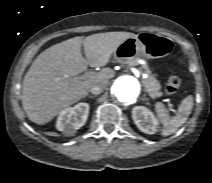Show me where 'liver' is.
I'll return each mask as SVG.
<instances>
[{
    "label": "liver",
    "instance_id": "obj_1",
    "mask_svg": "<svg viewBox=\"0 0 212 183\" xmlns=\"http://www.w3.org/2000/svg\"><path fill=\"white\" fill-rule=\"evenodd\" d=\"M134 36L130 32H106L74 37L40 53L23 81L22 105L28 118L38 125L46 124L87 96L94 84H107L115 74L111 68H103L87 77L77 76L87 66L107 65L120 44ZM81 45L86 58L82 56Z\"/></svg>",
    "mask_w": 212,
    "mask_h": 183
}]
</instances>
